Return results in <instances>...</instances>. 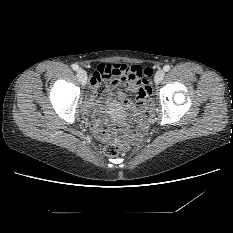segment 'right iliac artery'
<instances>
[{
	"mask_svg": "<svg viewBox=\"0 0 233 233\" xmlns=\"http://www.w3.org/2000/svg\"><path fill=\"white\" fill-rule=\"evenodd\" d=\"M73 70L77 71L79 69V66L77 64L72 65Z\"/></svg>",
	"mask_w": 233,
	"mask_h": 233,
	"instance_id": "obj_1",
	"label": "right iliac artery"
}]
</instances>
